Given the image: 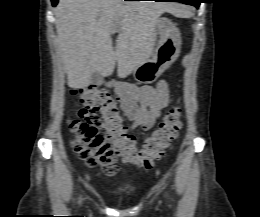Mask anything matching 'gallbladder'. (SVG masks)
<instances>
[{"instance_id": "1", "label": "gallbladder", "mask_w": 260, "mask_h": 217, "mask_svg": "<svg viewBox=\"0 0 260 217\" xmlns=\"http://www.w3.org/2000/svg\"><path fill=\"white\" fill-rule=\"evenodd\" d=\"M90 83L92 85H101L103 83V78L100 73L94 71L91 75Z\"/></svg>"}]
</instances>
